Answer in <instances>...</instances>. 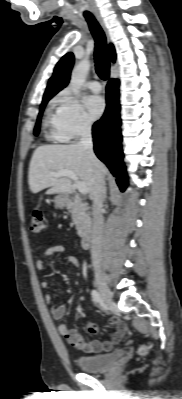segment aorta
Here are the masks:
<instances>
[{
  "mask_svg": "<svg viewBox=\"0 0 182 399\" xmlns=\"http://www.w3.org/2000/svg\"><path fill=\"white\" fill-rule=\"evenodd\" d=\"M90 69V61L86 57L82 59L73 69L69 87L75 95L80 93L81 87L85 82L86 76Z\"/></svg>",
  "mask_w": 182,
  "mask_h": 399,
  "instance_id": "762f6f07",
  "label": "aorta"
}]
</instances>
